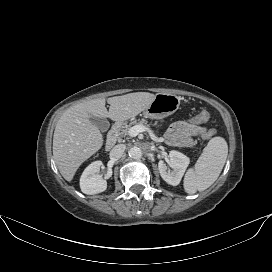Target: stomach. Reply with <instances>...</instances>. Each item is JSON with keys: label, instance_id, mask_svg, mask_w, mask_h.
<instances>
[{"label": "stomach", "instance_id": "0dacf381", "mask_svg": "<svg viewBox=\"0 0 272 272\" xmlns=\"http://www.w3.org/2000/svg\"><path fill=\"white\" fill-rule=\"evenodd\" d=\"M179 106L180 98L178 96L169 93H158L144 110V116L151 119H162L176 112Z\"/></svg>", "mask_w": 272, "mask_h": 272}]
</instances>
